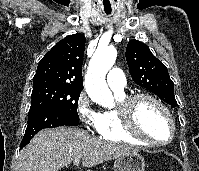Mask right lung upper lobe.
I'll list each match as a JSON object with an SVG mask.
<instances>
[{
    "label": "right lung upper lobe",
    "mask_w": 199,
    "mask_h": 171,
    "mask_svg": "<svg viewBox=\"0 0 199 171\" xmlns=\"http://www.w3.org/2000/svg\"><path fill=\"white\" fill-rule=\"evenodd\" d=\"M85 42V36L80 33L60 40L39 62L33 81H52L83 88Z\"/></svg>",
    "instance_id": "1"
}]
</instances>
